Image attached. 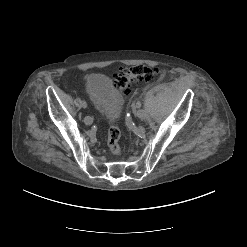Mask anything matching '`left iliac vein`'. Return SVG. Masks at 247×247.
<instances>
[{
	"instance_id": "4c4485c4",
	"label": "left iliac vein",
	"mask_w": 247,
	"mask_h": 247,
	"mask_svg": "<svg viewBox=\"0 0 247 247\" xmlns=\"http://www.w3.org/2000/svg\"><path fill=\"white\" fill-rule=\"evenodd\" d=\"M134 113H135L136 116H138L142 120H146L147 119V115L146 114L144 116H140L139 113H138V111H136L135 109H134Z\"/></svg>"
}]
</instances>
